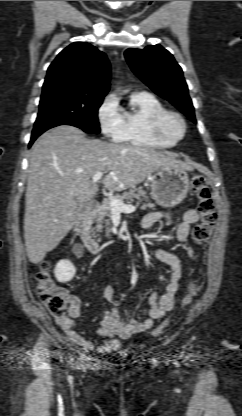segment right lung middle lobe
I'll list each match as a JSON object with an SVG mask.
<instances>
[{
  "mask_svg": "<svg viewBox=\"0 0 242 416\" xmlns=\"http://www.w3.org/2000/svg\"><path fill=\"white\" fill-rule=\"evenodd\" d=\"M102 101L103 97L76 94L42 96L32 134L43 133L59 125H72L87 133L98 134L100 127L97 115Z\"/></svg>",
  "mask_w": 242,
  "mask_h": 416,
  "instance_id": "obj_1",
  "label": "right lung middle lobe"
}]
</instances>
